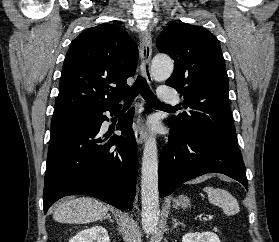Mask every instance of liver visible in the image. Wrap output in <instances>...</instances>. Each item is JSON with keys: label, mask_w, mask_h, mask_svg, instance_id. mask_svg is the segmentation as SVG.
<instances>
[{"label": "liver", "mask_w": 279, "mask_h": 242, "mask_svg": "<svg viewBox=\"0 0 279 242\" xmlns=\"http://www.w3.org/2000/svg\"><path fill=\"white\" fill-rule=\"evenodd\" d=\"M107 207L100 201L89 198H69L61 202L53 213V219L60 223L80 224L103 220Z\"/></svg>", "instance_id": "obj_1"}]
</instances>
